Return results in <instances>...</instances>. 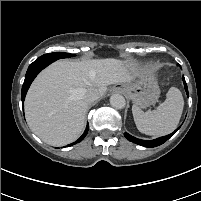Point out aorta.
I'll list each match as a JSON object with an SVG mask.
<instances>
[{
	"label": "aorta",
	"mask_w": 201,
	"mask_h": 201,
	"mask_svg": "<svg viewBox=\"0 0 201 201\" xmlns=\"http://www.w3.org/2000/svg\"><path fill=\"white\" fill-rule=\"evenodd\" d=\"M110 104L116 109H122L126 105L125 98L120 94H113L110 97Z\"/></svg>",
	"instance_id": "1"
}]
</instances>
